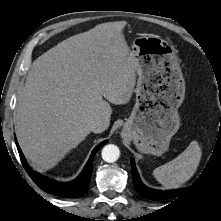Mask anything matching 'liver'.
<instances>
[{"mask_svg":"<svg viewBox=\"0 0 221 221\" xmlns=\"http://www.w3.org/2000/svg\"><path fill=\"white\" fill-rule=\"evenodd\" d=\"M126 24H99L33 62L18 95L15 130L25 157L37 170L62 160L91 132L92 121L103 119L109 126L110 103L129 102L136 61L122 33Z\"/></svg>","mask_w":221,"mask_h":221,"instance_id":"obj_1","label":"liver"}]
</instances>
